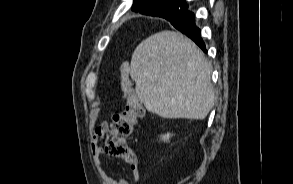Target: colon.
Here are the masks:
<instances>
[{
  "instance_id": "5ec220e1",
  "label": "colon",
  "mask_w": 293,
  "mask_h": 184,
  "mask_svg": "<svg viewBox=\"0 0 293 184\" xmlns=\"http://www.w3.org/2000/svg\"><path fill=\"white\" fill-rule=\"evenodd\" d=\"M129 63L123 62L120 66L121 88L126 98L122 111L114 114L106 133L104 152L113 157H118L127 163H133L135 155L126 143L139 119L144 116V108L131 87L129 81Z\"/></svg>"
}]
</instances>
